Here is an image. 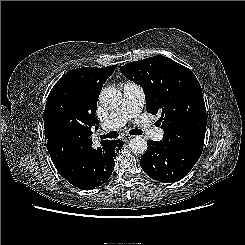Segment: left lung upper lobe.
Returning <instances> with one entry per match:
<instances>
[{"label": "left lung upper lobe", "instance_id": "obj_1", "mask_svg": "<svg viewBox=\"0 0 245 245\" xmlns=\"http://www.w3.org/2000/svg\"><path fill=\"white\" fill-rule=\"evenodd\" d=\"M126 78L142 86L146 110L160 114L162 142L175 148L202 150L207 114L201 86L187 67L165 56L119 66Z\"/></svg>", "mask_w": 245, "mask_h": 245}]
</instances>
